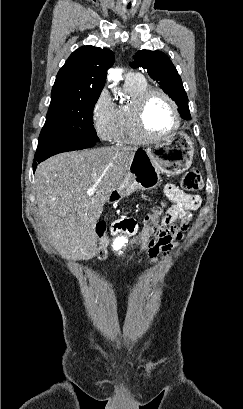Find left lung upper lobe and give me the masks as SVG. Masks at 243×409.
Wrapping results in <instances>:
<instances>
[{
    "instance_id": "obj_1",
    "label": "left lung upper lobe",
    "mask_w": 243,
    "mask_h": 409,
    "mask_svg": "<svg viewBox=\"0 0 243 409\" xmlns=\"http://www.w3.org/2000/svg\"><path fill=\"white\" fill-rule=\"evenodd\" d=\"M135 61L132 67H143L147 70L150 77L156 80L178 105L181 115L191 119L188 107V97L182 85V80L166 54L161 51L141 50L134 57Z\"/></svg>"
}]
</instances>
